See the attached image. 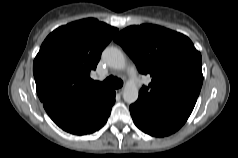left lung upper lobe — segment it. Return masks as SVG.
<instances>
[{"label": "left lung upper lobe", "instance_id": "left-lung-upper-lobe-1", "mask_svg": "<svg viewBox=\"0 0 238 158\" xmlns=\"http://www.w3.org/2000/svg\"><path fill=\"white\" fill-rule=\"evenodd\" d=\"M114 41L122 46L142 74L152 77L139 96L166 101L198 97L202 83L201 54L191 40L157 25L143 24L122 30Z\"/></svg>", "mask_w": 238, "mask_h": 158}]
</instances>
